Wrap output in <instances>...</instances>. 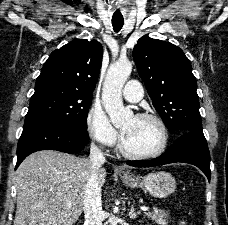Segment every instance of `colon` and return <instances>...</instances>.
Returning <instances> with one entry per match:
<instances>
[{
    "label": "colon",
    "instance_id": "obj_1",
    "mask_svg": "<svg viewBox=\"0 0 228 225\" xmlns=\"http://www.w3.org/2000/svg\"><path fill=\"white\" fill-rule=\"evenodd\" d=\"M179 225H185L184 221L179 222Z\"/></svg>",
    "mask_w": 228,
    "mask_h": 225
}]
</instances>
